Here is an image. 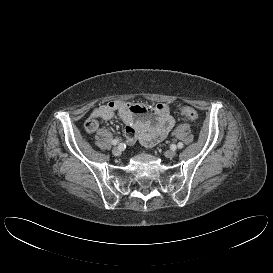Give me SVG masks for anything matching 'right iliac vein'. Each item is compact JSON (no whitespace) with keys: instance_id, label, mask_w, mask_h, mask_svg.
<instances>
[{"instance_id":"63e3f726","label":"right iliac vein","mask_w":273,"mask_h":273,"mask_svg":"<svg viewBox=\"0 0 273 273\" xmlns=\"http://www.w3.org/2000/svg\"><path fill=\"white\" fill-rule=\"evenodd\" d=\"M121 147H114L112 153L114 156H119L121 154Z\"/></svg>"}]
</instances>
